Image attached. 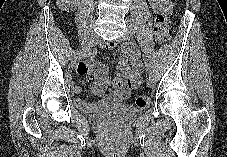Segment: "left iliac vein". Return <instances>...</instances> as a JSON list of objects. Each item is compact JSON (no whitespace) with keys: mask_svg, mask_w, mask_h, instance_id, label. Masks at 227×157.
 I'll list each match as a JSON object with an SVG mask.
<instances>
[{"mask_svg":"<svg viewBox=\"0 0 227 157\" xmlns=\"http://www.w3.org/2000/svg\"><path fill=\"white\" fill-rule=\"evenodd\" d=\"M132 31H133L132 28L128 27L125 34L121 38L118 39V42L127 43V41H129L130 37L132 36ZM147 84L149 87H154V85H155V77L152 72H149L147 75Z\"/></svg>","mask_w":227,"mask_h":157,"instance_id":"obj_1","label":"left iliac vein"}]
</instances>
